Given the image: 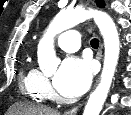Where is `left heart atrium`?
<instances>
[{
    "mask_svg": "<svg viewBox=\"0 0 131 115\" xmlns=\"http://www.w3.org/2000/svg\"><path fill=\"white\" fill-rule=\"evenodd\" d=\"M92 69L87 60L75 56L67 57L61 64L54 86L66 97H77L83 94L90 86Z\"/></svg>",
    "mask_w": 131,
    "mask_h": 115,
    "instance_id": "left-heart-atrium-1",
    "label": "left heart atrium"
}]
</instances>
